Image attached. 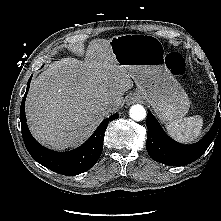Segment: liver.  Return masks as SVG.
Listing matches in <instances>:
<instances>
[{"label": "liver", "mask_w": 221, "mask_h": 221, "mask_svg": "<svg viewBox=\"0 0 221 221\" xmlns=\"http://www.w3.org/2000/svg\"><path fill=\"white\" fill-rule=\"evenodd\" d=\"M133 87L131 74L119 65L108 40L90 42L85 61L63 58L31 84L26 116L32 135L63 150L82 144L107 116L108 103H124Z\"/></svg>", "instance_id": "1"}]
</instances>
